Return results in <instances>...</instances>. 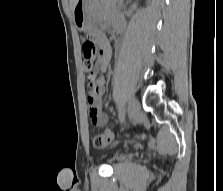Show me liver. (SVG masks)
<instances>
[{"label": "liver", "mask_w": 223, "mask_h": 191, "mask_svg": "<svg viewBox=\"0 0 223 191\" xmlns=\"http://www.w3.org/2000/svg\"><path fill=\"white\" fill-rule=\"evenodd\" d=\"M78 0H70V7H71V10L74 11V7L76 5Z\"/></svg>", "instance_id": "liver-1"}]
</instances>
